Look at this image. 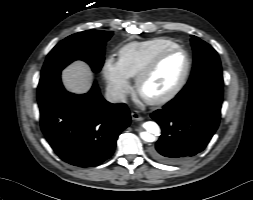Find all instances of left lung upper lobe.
<instances>
[{
    "mask_svg": "<svg viewBox=\"0 0 253 200\" xmlns=\"http://www.w3.org/2000/svg\"><path fill=\"white\" fill-rule=\"evenodd\" d=\"M191 44L194 51L193 69L189 81L178 93L180 97L189 95L203 85L223 86L221 63L217 52L209 44L193 35Z\"/></svg>",
    "mask_w": 253,
    "mask_h": 200,
    "instance_id": "obj_1",
    "label": "left lung upper lobe"
}]
</instances>
